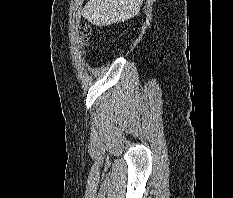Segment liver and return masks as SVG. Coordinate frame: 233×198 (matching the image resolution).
<instances>
[{
  "label": "liver",
  "mask_w": 233,
  "mask_h": 198,
  "mask_svg": "<svg viewBox=\"0 0 233 198\" xmlns=\"http://www.w3.org/2000/svg\"><path fill=\"white\" fill-rule=\"evenodd\" d=\"M144 0H88L82 15L91 24L109 26L136 16Z\"/></svg>",
  "instance_id": "obj_1"
}]
</instances>
